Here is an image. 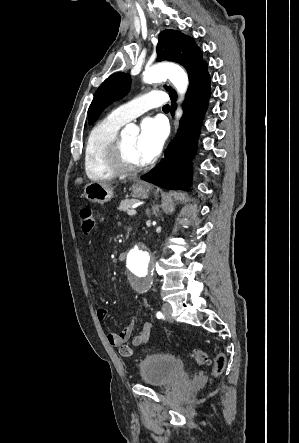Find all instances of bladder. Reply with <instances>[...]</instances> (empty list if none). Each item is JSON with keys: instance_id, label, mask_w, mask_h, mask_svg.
<instances>
[{"instance_id": "bladder-1", "label": "bladder", "mask_w": 299, "mask_h": 443, "mask_svg": "<svg viewBox=\"0 0 299 443\" xmlns=\"http://www.w3.org/2000/svg\"><path fill=\"white\" fill-rule=\"evenodd\" d=\"M139 377L150 387L162 388L187 378L184 364L175 356L149 355L139 363Z\"/></svg>"}]
</instances>
